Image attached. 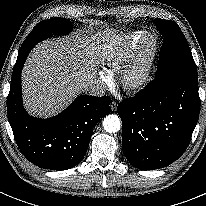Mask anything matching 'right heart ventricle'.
<instances>
[{
    "label": "right heart ventricle",
    "mask_w": 206,
    "mask_h": 206,
    "mask_svg": "<svg viewBox=\"0 0 206 206\" xmlns=\"http://www.w3.org/2000/svg\"><path fill=\"white\" fill-rule=\"evenodd\" d=\"M144 36V32L138 31L134 32L130 35L131 40V47H135L136 44L141 40V38ZM130 54V50L128 51H116L114 52L107 61V72L113 73L118 71L121 66L124 64V62L127 60L128 56Z\"/></svg>",
    "instance_id": "e07e8e85"
}]
</instances>
